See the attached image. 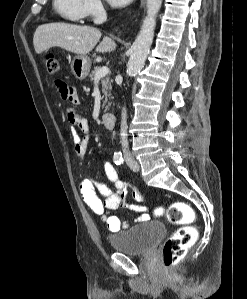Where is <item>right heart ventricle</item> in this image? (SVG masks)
<instances>
[{"instance_id": "obj_1", "label": "right heart ventricle", "mask_w": 247, "mask_h": 299, "mask_svg": "<svg viewBox=\"0 0 247 299\" xmlns=\"http://www.w3.org/2000/svg\"><path fill=\"white\" fill-rule=\"evenodd\" d=\"M53 8L68 22H81L86 17L85 0H53Z\"/></svg>"}]
</instances>
